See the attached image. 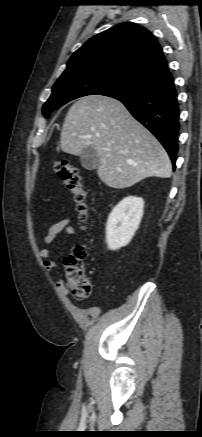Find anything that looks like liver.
Returning <instances> with one entry per match:
<instances>
[{"label": "liver", "instance_id": "liver-1", "mask_svg": "<svg viewBox=\"0 0 202 437\" xmlns=\"http://www.w3.org/2000/svg\"><path fill=\"white\" fill-rule=\"evenodd\" d=\"M60 141L62 151L75 156L93 146L99 156L97 174L112 188L123 189L148 177L169 178L172 174L170 158L161 143L111 97L78 99L65 117Z\"/></svg>", "mask_w": 202, "mask_h": 437}]
</instances>
